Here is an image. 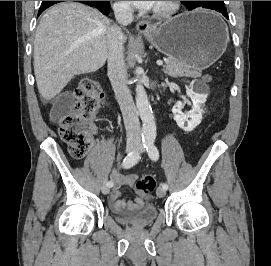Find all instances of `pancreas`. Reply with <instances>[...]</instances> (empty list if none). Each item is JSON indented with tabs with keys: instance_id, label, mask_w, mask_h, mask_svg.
<instances>
[{
	"instance_id": "obj_1",
	"label": "pancreas",
	"mask_w": 271,
	"mask_h": 266,
	"mask_svg": "<svg viewBox=\"0 0 271 266\" xmlns=\"http://www.w3.org/2000/svg\"><path fill=\"white\" fill-rule=\"evenodd\" d=\"M190 66L174 58H168L163 65V72L171 77L200 76L199 70L189 71Z\"/></svg>"
}]
</instances>
